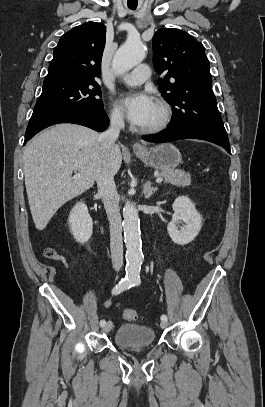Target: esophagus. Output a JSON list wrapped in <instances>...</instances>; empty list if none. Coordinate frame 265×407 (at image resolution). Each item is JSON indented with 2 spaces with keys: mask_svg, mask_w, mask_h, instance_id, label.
<instances>
[{
  "mask_svg": "<svg viewBox=\"0 0 265 407\" xmlns=\"http://www.w3.org/2000/svg\"><path fill=\"white\" fill-rule=\"evenodd\" d=\"M133 149H134V150H142V149H143V146H142L140 143L136 142V143H134V145H133Z\"/></svg>",
  "mask_w": 265,
  "mask_h": 407,
  "instance_id": "34e87169",
  "label": "esophagus"
}]
</instances>
